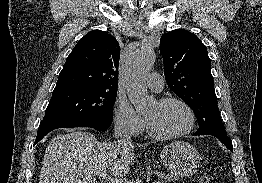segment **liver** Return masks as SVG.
<instances>
[{
	"instance_id": "6515ba94",
	"label": "liver",
	"mask_w": 262,
	"mask_h": 183,
	"mask_svg": "<svg viewBox=\"0 0 262 183\" xmlns=\"http://www.w3.org/2000/svg\"><path fill=\"white\" fill-rule=\"evenodd\" d=\"M133 160L130 141L104 143L90 132L68 130L47 145L39 183H97L96 177L108 171L122 178Z\"/></svg>"
}]
</instances>
